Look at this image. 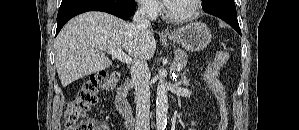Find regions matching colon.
<instances>
[{
  "label": "colon",
  "instance_id": "1",
  "mask_svg": "<svg viewBox=\"0 0 299 130\" xmlns=\"http://www.w3.org/2000/svg\"><path fill=\"white\" fill-rule=\"evenodd\" d=\"M226 51H219L215 60L209 66L208 77L221 101L220 121L217 130H226L228 124V111L225 106V91L223 86L215 79L218 70L228 61ZM119 75L111 71L96 72L83 83L75 98L66 104L64 114L65 130H105L102 124L89 117L90 109L98 102L101 90L111 89L118 82Z\"/></svg>",
  "mask_w": 299,
  "mask_h": 130
}]
</instances>
